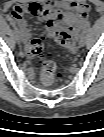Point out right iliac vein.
I'll return each mask as SVG.
<instances>
[{"label": "right iliac vein", "mask_w": 104, "mask_h": 137, "mask_svg": "<svg viewBox=\"0 0 104 137\" xmlns=\"http://www.w3.org/2000/svg\"><path fill=\"white\" fill-rule=\"evenodd\" d=\"M15 39H16L18 45L21 46L22 45V36L18 30L15 31Z\"/></svg>", "instance_id": "obj_1"}]
</instances>
